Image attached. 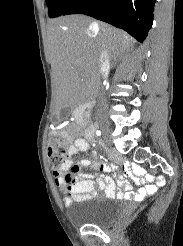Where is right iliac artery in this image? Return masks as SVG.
<instances>
[{
    "label": "right iliac artery",
    "instance_id": "obj_1",
    "mask_svg": "<svg viewBox=\"0 0 183 246\" xmlns=\"http://www.w3.org/2000/svg\"><path fill=\"white\" fill-rule=\"evenodd\" d=\"M96 134H97L98 136H100V135H101V132H100L99 130H97V131H96Z\"/></svg>",
    "mask_w": 183,
    "mask_h": 246
}]
</instances>
